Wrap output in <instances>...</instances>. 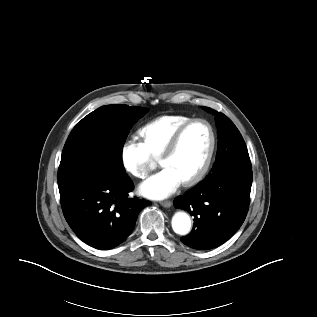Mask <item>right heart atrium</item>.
I'll list each match as a JSON object with an SVG mask.
<instances>
[{
    "label": "right heart atrium",
    "mask_w": 317,
    "mask_h": 317,
    "mask_svg": "<svg viewBox=\"0 0 317 317\" xmlns=\"http://www.w3.org/2000/svg\"><path fill=\"white\" fill-rule=\"evenodd\" d=\"M120 157L125 171L139 179L147 177L154 163L144 143L136 138H130L122 144Z\"/></svg>",
    "instance_id": "right-heart-atrium-1"
}]
</instances>
